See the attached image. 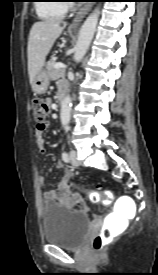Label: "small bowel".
<instances>
[{
	"label": "small bowel",
	"mask_w": 158,
	"mask_h": 275,
	"mask_svg": "<svg viewBox=\"0 0 158 275\" xmlns=\"http://www.w3.org/2000/svg\"><path fill=\"white\" fill-rule=\"evenodd\" d=\"M63 87H67V84L63 81L58 83V89ZM44 131H40L36 129V144L41 152L45 153L46 142L42 136ZM64 166V162L59 160L57 162V167L62 168ZM72 177V173L70 170H66L63 174L62 181L57 184V186L53 189L47 190L43 193V200L47 203L54 201H61L66 205L77 207L81 210H87V205L78 191L70 188L68 186V182ZM46 183V179L44 177L39 178V184L44 185Z\"/></svg>",
	"instance_id": "c3829d8e"
}]
</instances>
